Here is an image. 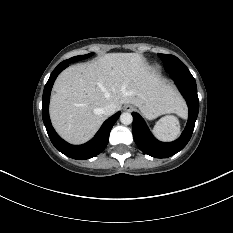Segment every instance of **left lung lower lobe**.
<instances>
[{
  "instance_id": "0a47b994",
  "label": "left lung lower lobe",
  "mask_w": 233,
  "mask_h": 233,
  "mask_svg": "<svg viewBox=\"0 0 233 233\" xmlns=\"http://www.w3.org/2000/svg\"><path fill=\"white\" fill-rule=\"evenodd\" d=\"M170 77L176 83L189 108L187 125L177 140L170 143L158 141L151 134L142 117L135 112L132 113V132L135 143L142 152L155 158L173 156L186 146L192 136L199 111L197 86L192 74L190 72H173L170 73Z\"/></svg>"
}]
</instances>
